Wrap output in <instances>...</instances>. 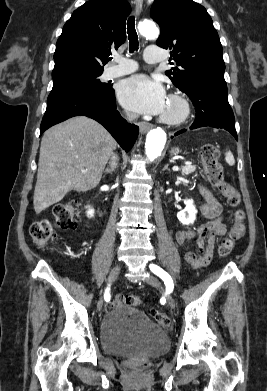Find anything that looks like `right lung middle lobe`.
Listing matches in <instances>:
<instances>
[{
	"instance_id": "1",
	"label": "right lung middle lobe",
	"mask_w": 267,
	"mask_h": 391,
	"mask_svg": "<svg viewBox=\"0 0 267 391\" xmlns=\"http://www.w3.org/2000/svg\"><path fill=\"white\" fill-rule=\"evenodd\" d=\"M102 73L103 71L68 73L52 77L53 88L51 92H56L67 88H85L106 91L110 88V85L103 83L98 79Z\"/></svg>"
}]
</instances>
